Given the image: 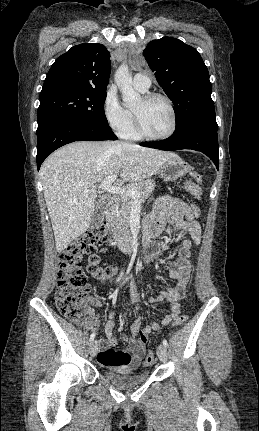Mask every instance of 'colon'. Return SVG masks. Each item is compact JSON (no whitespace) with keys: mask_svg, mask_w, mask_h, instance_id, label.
<instances>
[{"mask_svg":"<svg viewBox=\"0 0 259 431\" xmlns=\"http://www.w3.org/2000/svg\"><path fill=\"white\" fill-rule=\"evenodd\" d=\"M191 179L185 184L186 190L196 198L201 196V175L197 171L191 172ZM188 211L193 219L199 218L201 207L191 200L188 203ZM111 242V231L107 226H98L87 231L79 239L72 242L58 258V282L55 293L56 305L59 312L74 323H92L87 301L91 286L82 269L81 258L89 254L93 249L103 243ZM88 274L97 282L104 283L110 280L115 270L104 267L100 263V255L93 254L86 267ZM188 320V315L180 314L174 322V327H182ZM142 340L147 342L148 336L142 335ZM154 353L150 350L144 360L145 365L154 362Z\"/></svg>","mask_w":259,"mask_h":431,"instance_id":"1","label":"colon"}]
</instances>
